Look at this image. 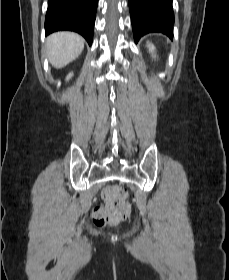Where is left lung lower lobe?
<instances>
[{
  "label": "left lung lower lobe",
  "mask_w": 229,
  "mask_h": 280,
  "mask_svg": "<svg viewBox=\"0 0 229 280\" xmlns=\"http://www.w3.org/2000/svg\"><path fill=\"white\" fill-rule=\"evenodd\" d=\"M129 9L135 42L151 32L173 38L172 0H129Z\"/></svg>",
  "instance_id": "obj_1"
}]
</instances>
